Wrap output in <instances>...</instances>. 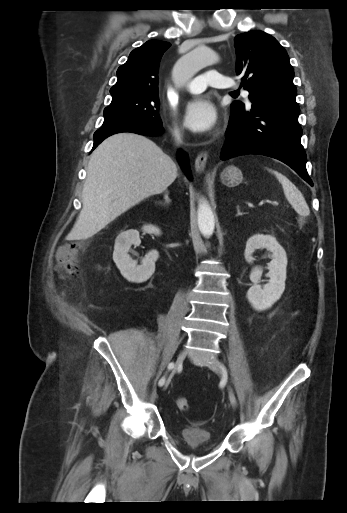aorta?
Segmentation results:
<instances>
[{
  "label": "aorta",
  "instance_id": "1",
  "mask_svg": "<svg viewBox=\"0 0 347 513\" xmlns=\"http://www.w3.org/2000/svg\"><path fill=\"white\" fill-rule=\"evenodd\" d=\"M219 62L218 55L206 46H198L183 55L174 65L172 71L173 81L178 86H184L198 71L206 66ZM198 225L204 236L212 235L215 228L213 212L206 201L199 203Z\"/></svg>",
  "mask_w": 347,
  "mask_h": 513
}]
</instances>
